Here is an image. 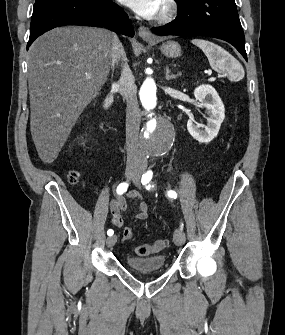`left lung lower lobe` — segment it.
I'll return each mask as SVG.
<instances>
[{
    "label": "left lung lower lobe",
    "instance_id": "obj_1",
    "mask_svg": "<svg viewBox=\"0 0 285 335\" xmlns=\"http://www.w3.org/2000/svg\"><path fill=\"white\" fill-rule=\"evenodd\" d=\"M178 16L152 30L164 35H202L225 40L247 60L245 37L235 0H180Z\"/></svg>",
    "mask_w": 285,
    "mask_h": 335
}]
</instances>
